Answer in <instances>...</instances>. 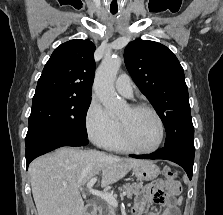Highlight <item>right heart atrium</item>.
<instances>
[{"label":"right heart atrium","mask_w":223,"mask_h":215,"mask_svg":"<svg viewBox=\"0 0 223 215\" xmlns=\"http://www.w3.org/2000/svg\"><path fill=\"white\" fill-rule=\"evenodd\" d=\"M85 127L90 138L99 145H104L119 132V123L111 118L102 104L92 99L85 113Z\"/></svg>","instance_id":"obj_1"}]
</instances>
